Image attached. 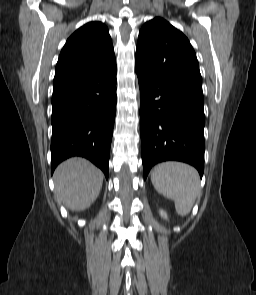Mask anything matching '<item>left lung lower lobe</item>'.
<instances>
[{"label":"left lung lower lobe","instance_id":"0a47b994","mask_svg":"<svg viewBox=\"0 0 256 295\" xmlns=\"http://www.w3.org/2000/svg\"><path fill=\"white\" fill-rule=\"evenodd\" d=\"M140 87L144 178L159 162L176 160L204 172V98L158 82L135 65Z\"/></svg>","mask_w":256,"mask_h":295}]
</instances>
